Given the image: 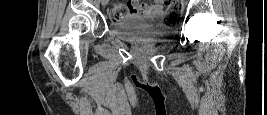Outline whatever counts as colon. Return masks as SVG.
<instances>
[{"mask_svg": "<svg viewBox=\"0 0 267 115\" xmlns=\"http://www.w3.org/2000/svg\"><path fill=\"white\" fill-rule=\"evenodd\" d=\"M166 19L177 20L181 15L183 0H170L165 2ZM132 6L130 4H115L109 11L108 15L111 20L122 19L126 14L131 13Z\"/></svg>", "mask_w": 267, "mask_h": 115, "instance_id": "1", "label": "colon"}]
</instances>
